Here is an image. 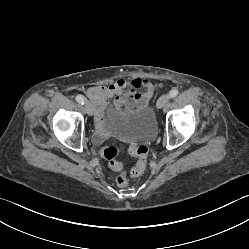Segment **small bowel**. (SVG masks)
I'll use <instances>...</instances> for the list:
<instances>
[{
    "label": "small bowel",
    "instance_id": "small-bowel-1",
    "mask_svg": "<svg viewBox=\"0 0 249 249\" xmlns=\"http://www.w3.org/2000/svg\"><path fill=\"white\" fill-rule=\"evenodd\" d=\"M154 93V85L147 79H118L114 83L105 86H92L86 91L87 96L102 111L110 103L111 99L118 108L124 106H145Z\"/></svg>",
    "mask_w": 249,
    "mask_h": 249
}]
</instances>
